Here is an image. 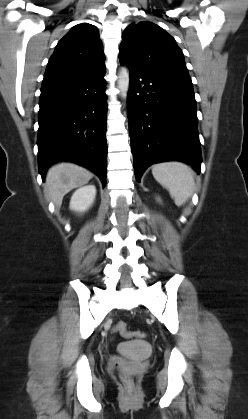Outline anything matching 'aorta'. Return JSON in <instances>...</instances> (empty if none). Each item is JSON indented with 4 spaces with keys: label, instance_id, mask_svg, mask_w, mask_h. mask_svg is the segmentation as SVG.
Returning a JSON list of instances; mask_svg holds the SVG:
<instances>
[{
    "label": "aorta",
    "instance_id": "762f6f07",
    "mask_svg": "<svg viewBox=\"0 0 248 419\" xmlns=\"http://www.w3.org/2000/svg\"><path fill=\"white\" fill-rule=\"evenodd\" d=\"M118 88L121 92L123 98L127 97L129 84H130V74L129 70L126 67H122L118 74Z\"/></svg>",
    "mask_w": 248,
    "mask_h": 419
}]
</instances>
